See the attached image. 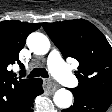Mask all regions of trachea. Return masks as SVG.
Instances as JSON below:
<instances>
[{"label":"trachea","instance_id":"3493384b","mask_svg":"<svg viewBox=\"0 0 112 112\" xmlns=\"http://www.w3.org/2000/svg\"><path fill=\"white\" fill-rule=\"evenodd\" d=\"M39 76H41L43 78L49 77L48 72L44 68L33 69L27 77L28 78H33V77H39Z\"/></svg>","mask_w":112,"mask_h":112}]
</instances>
